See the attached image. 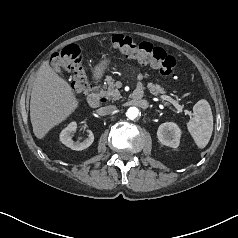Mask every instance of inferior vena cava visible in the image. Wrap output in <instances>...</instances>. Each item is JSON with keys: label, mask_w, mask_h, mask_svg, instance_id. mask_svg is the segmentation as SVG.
I'll use <instances>...</instances> for the list:
<instances>
[{"label": "inferior vena cava", "mask_w": 238, "mask_h": 238, "mask_svg": "<svg viewBox=\"0 0 238 238\" xmlns=\"http://www.w3.org/2000/svg\"><path fill=\"white\" fill-rule=\"evenodd\" d=\"M101 110H102L103 114L109 115L116 110V106L115 105H107V106L102 107Z\"/></svg>", "instance_id": "inferior-vena-cava-1"}]
</instances>
